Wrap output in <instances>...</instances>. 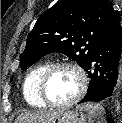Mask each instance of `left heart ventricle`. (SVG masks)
Listing matches in <instances>:
<instances>
[{"instance_id":"1","label":"left heart ventricle","mask_w":122,"mask_h":123,"mask_svg":"<svg viewBox=\"0 0 122 123\" xmlns=\"http://www.w3.org/2000/svg\"><path fill=\"white\" fill-rule=\"evenodd\" d=\"M79 86V76L73 69H59L49 80L47 95L53 102H66L76 95L79 90Z\"/></svg>"}]
</instances>
